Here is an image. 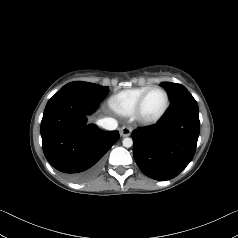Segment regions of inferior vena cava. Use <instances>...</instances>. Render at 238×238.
Returning <instances> with one entry per match:
<instances>
[{"label":"inferior vena cava","mask_w":238,"mask_h":238,"mask_svg":"<svg viewBox=\"0 0 238 238\" xmlns=\"http://www.w3.org/2000/svg\"><path fill=\"white\" fill-rule=\"evenodd\" d=\"M97 124L106 130H115L118 126L117 121L109 117L98 120Z\"/></svg>","instance_id":"inferior-vena-cava-1"}]
</instances>
